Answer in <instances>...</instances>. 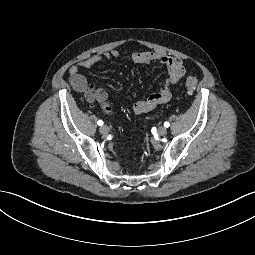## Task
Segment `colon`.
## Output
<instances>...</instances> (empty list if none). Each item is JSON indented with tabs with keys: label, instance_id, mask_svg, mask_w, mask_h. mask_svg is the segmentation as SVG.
<instances>
[{
	"label": "colon",
	"instance_id": "colon-1",
	"mask_svg": "<svg viewBox=\"0 0 255 255\" xmlns=\"http://www.w3.org/2000/svg\"><path fill=\"white\" fill-rule=\"evenodd\" d=\"M198 80L194 76H189L185 81V88L188 92H192L197 87Z\"/></svg>",
	"mask_w": 255,
	"mask_h": 255
}]
</instances>
